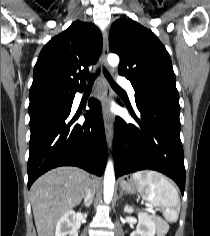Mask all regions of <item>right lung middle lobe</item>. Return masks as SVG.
I'll use <instances>...</instances> for the list:
<instances>
[{"label":"right lung middle lobe","instance_id":"dd1d6c3e","mask_svg":"<svg viewBox=\"0 0 210 236\" xmlns=\"http://www.w3.org/2000/svg\"><path fill=\"white\" fill-rule=\"evenodd\" d=\"M72 93L56 91L53 89H43L36 92L30 99L29 113L49 105L67 103L72 97Z\"/></svg>","mask_w":210,"mask_h":236}]
</instances>
